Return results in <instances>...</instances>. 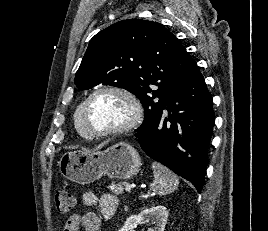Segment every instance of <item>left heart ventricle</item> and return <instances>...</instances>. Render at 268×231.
I'll return each instance as SVG.
<instances>
[{
    "mask_svg": "<svg viewBox=\"0 0 268 231\" xmlns=\"http://www.w3.org/2000/svg\"><path fill=\"white\" fill-rule=\"evenodd\" d=\"M131 109L127 101L112 93H100L90 102L88 122L91 129L102 131L116 128L128 121Z\"/></svg>",
    "mask_w": 268,
    "mask_h": 231,
    "instance_id": "left-heart-ventricle-1",
    "label": "left heart ventricle"
}]
</instances>
